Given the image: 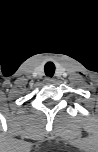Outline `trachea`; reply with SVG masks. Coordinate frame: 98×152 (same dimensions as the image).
<instances>
[{
  "instance_id": "trachea-1",
  "label": "trachea",
  "mask_w": 98,
  "mask_h": 152,
  "mask_svg": "<svg viewBox=\"0 0 98 152\" xmlns=\"http://www.w3.org/2000/svg\"><path fill=\"white\" fill-rule=\"evenodd\" d=\"M46 76L52 77L55 73V65L52 62H47L44 66Z\"/></svg>"
}]
</instances>
